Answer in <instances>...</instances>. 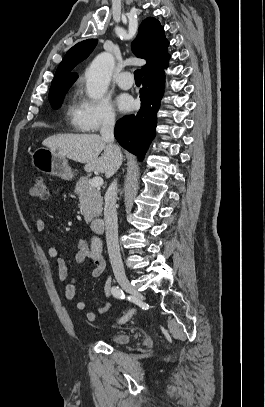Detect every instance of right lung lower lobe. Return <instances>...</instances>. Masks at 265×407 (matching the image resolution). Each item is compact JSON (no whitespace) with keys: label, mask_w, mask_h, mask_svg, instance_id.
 Returning <instances> with one entry per match:
<instances>
[{"label":"right lung lower lobe","mask_w":265,"mask_h":407,"mask_svg":"<svg viewBox=\"0 0 265 407\" xmlns=\"http://www.w3.org/2000/svg\"><path fill=\"white\" fill-rule=\"evenodd\" d=\"M170 55L160 59L144 73L140 91L141 108L136 115L125 116L115 126V138L119 144L142 160L155 136L157 111L163 96L164 72Z\"/></svg>","instance_id":"98d812e1"}]
</instances>
